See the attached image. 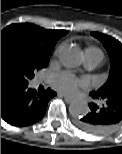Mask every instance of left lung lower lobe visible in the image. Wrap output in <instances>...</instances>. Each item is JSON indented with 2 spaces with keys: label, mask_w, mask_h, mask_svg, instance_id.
<instances>
[{
  "label": "left lung lower lobe",
  "mask_w": 122,
  "mask_h": 154,
  "mask_svg": "<svg viewBox=\"0 0 122 154\" xmlns=\"http://www.w3.org/2000/svg\"><path fill=\"white\" fill-rule=\"evenodd\" d=\"M95 102L89 104V111L76 121V126L91 134H103L122 120V97L90 93Z\"/></svg>",
  "instance_id": "1"
}]
</instances>
